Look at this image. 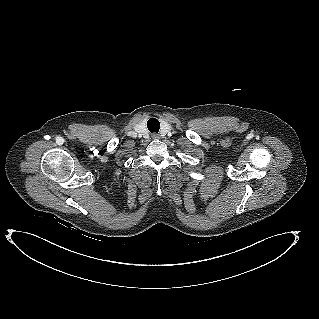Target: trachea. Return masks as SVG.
Instances as JSON below:
<instances>
[{
    "label": "trachea",
    "instance_id": "obj_1",
    "mask_svg": "<svg viewBox=\"0 0 319 319\" xmlns=\"http://www.w3.org/2000/svg\"><path fill=\"white\" fill-rule=\"evenodd\" d=\"M147 127H148V130H149L150 132H156V133H158L159 128H160V123H159V121H158L157 119L151 118V119H149L148 122H147Z\"/></svg>",
    "mask_w": 319,
    "mask_h": 319
}]
</instances>
